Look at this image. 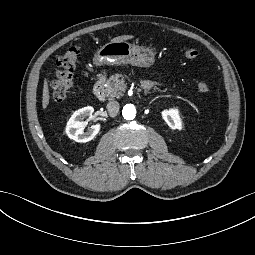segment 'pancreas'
<instances>
[{
	"label": "pancreas",
	"instance_id": "1",
	"mask_svg": "<svg viewBox=\"0 0 255 255\" xmlns=\"http://www.w3.org/2000/svg\"><path fill=\"white\" fill-rule=\"evenodd\" d=\"M124 79H128L126 74L111 75L107 81L106 95L110 98L119 99L127 89Z\"/></svg>",
	"mask_w": 255,
	"mask_h": 255
}]
</instances>
